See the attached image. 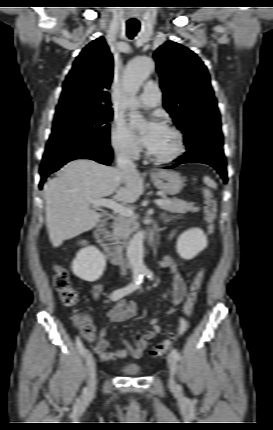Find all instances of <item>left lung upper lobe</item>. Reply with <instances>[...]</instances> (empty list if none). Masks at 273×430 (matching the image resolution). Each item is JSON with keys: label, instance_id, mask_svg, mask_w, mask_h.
<instances>
[{"label": "left lung upper lobe", "instance_id": "5c2ea615", "mask_svg": "<svg viewBox=\"0 0 273 430\" xmlns=\"http://www.w3.org/2000/svg\"><path fill=\"white\" fill-rule=\"evenodd\" d=\"M164 107L175 125L192 137L199 128L221 126L217 100L206 66L188 48L168 41L154 52ZM221 131V130H220Z\"/></svg>", "mask_w": 273, "mask_h": 430}]
</instances>
